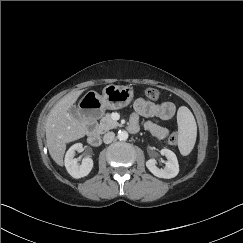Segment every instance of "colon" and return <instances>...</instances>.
Returning a JSON list of instances; mask_svg holds the SVG:
<instances>
[{
	"label": "colon",
	"mask_w": 243,
	"mask_h": 243,
	"mask_svg": "<svg viewBox=\"0 0 243 243\" xmlns=\"http://www.w3.org/2000/svg\"><path fill=\"white\" fill-rule=\"evenodd\" d=\"M144 94L151 100H158L160 97V92L154 87H147L144 89ZM168 144L175 145L177 143V138L175 135H170L168 137Z\"/></svg>",
	"instance_id": "5ec220e1"
}]
</instances>
